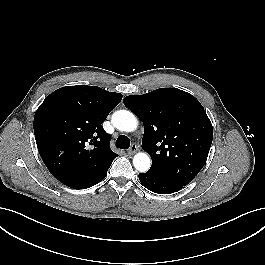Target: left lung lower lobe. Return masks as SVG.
Wrapping results in <instances>:
<instances>
[{"label": "left lung lower lobe", "instance_id": "obj_1", "mask_svg": "<svg viewBox=\"0 0 265 265\" xmlns=\"http://www.w3.org/2000/svg\"><path fill=\"white\" fill-rule=\"evenodd\" d=\"M139 180L147 189L158 194L174 193L184 187L179 183L173 182L149 171L146 173H140Z\"/></svg>", "mask_w": 265, "mask_h": 265}]
</instances>
